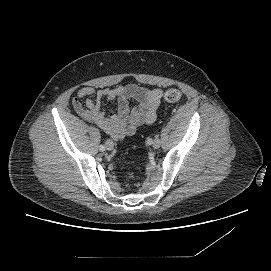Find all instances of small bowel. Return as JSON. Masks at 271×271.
<instances>
[{"label":"small bowel","instance_id":"c3829d8e","mask_svg":"<svg viewBox=\"0 0 271 271\" xmlns=\"http://www.w3.org/2000/svg\"><path fill=\"white\" fill-rule=\"evenodd\" d=\"M162 95L159 88L148 89L134 84L99 90L82 87L72 99V105L80 117L96 124L113 139L120 140L156 120ZM103 101L115 102L116 112H105L101 106ZM132 101L136 105L132 106Z\"/></svg>","mask_w":271,"mask_h":271}]
</instances>
